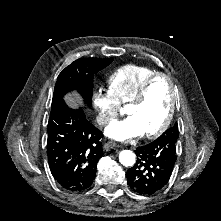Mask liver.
<instances>
[{
    "instance_id": "1",
    "label": "liver",
    "mask_w": 221,
    "mask_h": 221,
    "mask_svg": "<svg viewBox=\"0 0 221 221\" xmlns=\"http://www.w3.org/2000/svg\"><path fill=\"white\" fill-rule=\"evenodd\" d=\"M66 101H67L69 104H71V105H74V104H76V103H79L78 100L74 99V98L71 97V96L66 97Z\"/></svg>"
}]
</instances>
